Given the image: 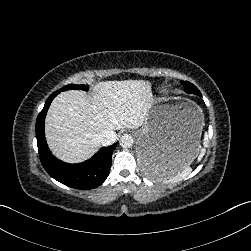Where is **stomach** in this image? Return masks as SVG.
Masks as SVG:
<instances>
[{
  "label": "stomach",
  "mask_w": 251,
  "mask_h": 251,
  "mask_svg": "<svg viewBox=\"0 0 251 251\" xmlns=\"http://www.w3.org/2000/svg\"><path fill=\"white\" fill-rule=\"evenodd\" d=\"M151 93L147 118L135 132L137 158L150 177H166L198 155L204 114L194 101L168 94L162 84H152Z\"/></svg>",
  "instance_id": "1"
}]
</instances>
